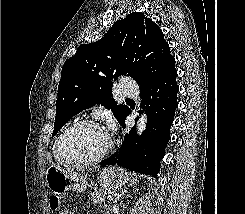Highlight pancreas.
Masks as SVG:
<instances>
[{"label":"pancreas","mask_w":245,"mask_h":214,"mask_svg":"<svg viewBox=\"0 0 245 214\" xmlns=\"http://www.w3.org/2000/svg\"><path fill=\"white\" fill-rule=\"evenodd\" d=\"M91 199L96 204L105 203L106 191L103 188H94L93 193L91 194Z\"/></svg>","instance_id":"cf45deb5"}]
</instances>
